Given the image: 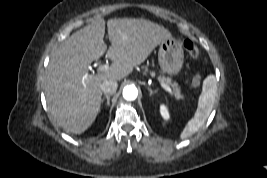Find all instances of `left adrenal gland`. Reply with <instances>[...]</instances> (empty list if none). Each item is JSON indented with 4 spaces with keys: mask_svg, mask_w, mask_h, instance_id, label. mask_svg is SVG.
<instances>
[{
    "mask_svg": "<svg viewBox=\"0 0 267 178\" xmlns=\"http://www.w3.org/2000/svg\"><path fill=\"white\" fill-rule=\"evenodd\" d=\"M149 94L152 95L154 91L148 86Z\"/></svg>",
    "mask_w": 267,
    "mask_h": 178,
    "instance_id": "a2214340",
    "label": "left adrenal gland"
}]
</instances>
